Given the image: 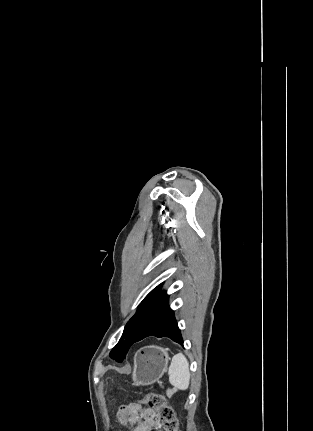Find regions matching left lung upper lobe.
<instances>
[{"label":"left lung upper lobe","instance_id":"1","mask_svg":"<svg viewBox=\"0 0 313 431\" xmlns=\"http://www.w3.org/2000/svg\"><path fill=\"white\" fill-rule=\"evenodd\" d=\"M161 285H158L145 297L135 315L125 325L119 342L110 352L111 358L122 362L140 330L168 304L169 296L164 291H160Z\"/></svg>","mask_w":313,"mask_h":431}]
</instances>
